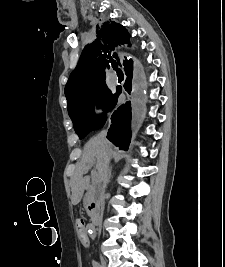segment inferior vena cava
Here are the masks:
<instances>
[{
	"instance_id": "obj_1",
	"label": "inferior vena cava",
	"mask_w": 225,
	"mask_h": 267,
	"mask_svg": "<svg viewBox=\"0 0 225 267\" xmlns=\"http://www.w3.org/2000/svg\"><path fill=\"white\" fill-rule=\"evenodd\" d=\"M106 135H107V132L102 131L96 136V140L102 144H106L107 143ZM108 164H109V158H107L106 165L97 179L98 204H99L98 210L101 214L103 213V210H104L105 189L110 179Z\"/></svg>"
}]
</instances>
